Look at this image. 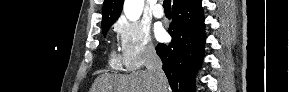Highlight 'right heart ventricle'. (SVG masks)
Here are the masks:
<instances>
[{"mask_svg": "<svg viewBox=\"0 0 289 92\" xmlns=\"http://www.w3.org/2000/svg\"><path fill=\"white\" fill-rule=\"evenodd\" d=\"M111 64H112L113 66H117V65H118V61H117V59L115 58V56H112V58H111Z\"/></svg>", "mask_w": 289, "mask_h": 92, "instance_id": "right-heart-ventricle-1", "label": "right heart ventricle"}]
</instances>
